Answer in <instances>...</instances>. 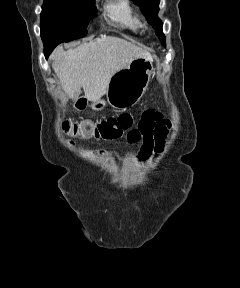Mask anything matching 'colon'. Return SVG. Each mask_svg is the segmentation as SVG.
<instances>
[{
    "label": "colon",
    "mask_w": 240,
    "mask_h": 288,
    "mask_svg": "<svg viewBox=\"0 0 240 288\" xmlns=\"http://www.w3.org/2000/svg\"><path fill=\"white\" fill-rule=\"evenodd\" d=\"M138 121L134 115L124 113L99 122L87 120L73 123L64 121L62 130L71 140L75 138L113 140L121 137L124 133H130L131 128L138 124Z\"/></svg>",
    "instance_id": "colon-1"
}]
</instances>
